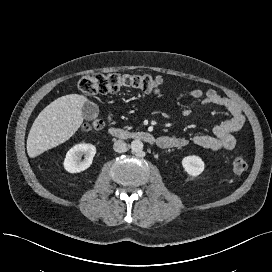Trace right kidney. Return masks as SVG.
<instances>
[{"label":"right kidney","instance_id":"obj_1","mask_svg":"<svg viewBox=\"0 0 272 272\" xmlns=\"http://www.w3.org/2000/svg\"><path fill=\"white\" fill-rule=\"evenodd\" d=\"M83 154H85V158L81 161ZM95 154L96 147L94 145L87 143L77 144L67 152L63 162L64 168L70 173L82 172L90 167Z\"/></svg>","mask_w":272,"mask_h":272}]
</instances>
